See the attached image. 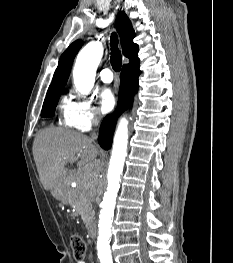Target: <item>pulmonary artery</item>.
<instances>
[{
    "label": "pulmonary artery",
    "instance_id": "1",
    "mask_svg": "<svg viewBox=\"0 0 233 263\" xmlns=\"http://www.w3.org/2000/svg\"><path fill=\"white\" fill-rule=\"evenodd\" d=\"M100 78L104 83H111L113 81V72L109 68H103L100 71Z\"/></svg>",
    "mask_w": 233,
    "mask_h": 263
}]
</instances>
